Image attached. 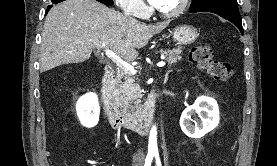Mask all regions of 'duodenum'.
Listing matches in <instances>:
<instances>
[{
	"mask_svg": "<svg viewBox=\"0 0 277 166\" xmlns=\"http://www.w3.org/2000/svg\"><path fill=\"white\" fill-rule=\"evenodd\" d=\"M113 69L107 66L101 76L98 85V94L102 106L104 118L116 129H127L139 133H147L153 122L156 97L151 95L137 114L123 111L110 91V81Z\"/></svg>",
	"mask_w": 277,
	"mask_h": 166,
	"instance_id": "obj_1",
	"label": "duodenum"
}]
</instances>
